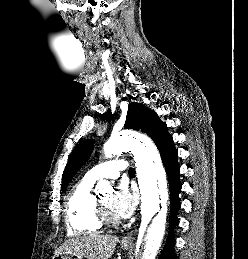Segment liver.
<instances>
[{
    "instance_id": "6515ba94",
    "label": "liver",
    "mask_w": 248,
    "mask_h": 259,
    "mask_svg": "<svg viewBox=\"0 0 248 259\" xmlns=\"http://www.w3.org/2000/svg\"><path fill=\"white\" fill-rule=\"evenodd\" d=\"M117 236L90 234L88 236L71 238L65 241L54 253L75 254L80 258L109 259L114 254Z\"/></svg>"
}]
</instances>
